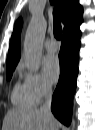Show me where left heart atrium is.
Here are the masks:
<instances>
[{"mask_svg":"<svg viewBox=\"0 0 95 130\" xmlns=\"http://www.w3.org/2000/svg\"><path fill=\"white\" fill-rule=\"evenodd\" d=\"M43 68L46 77L50 82H56L60 76L61 66L56 55H48L43 61Z\"/></svg>","mask_w":95,"mask_h":130,"instance_id":"1","label":"left heart atrium"}]
</instances>
